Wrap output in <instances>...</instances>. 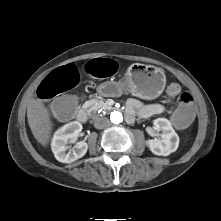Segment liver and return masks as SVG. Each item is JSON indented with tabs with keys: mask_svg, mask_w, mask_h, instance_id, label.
<instances>
[{
	"mask_svg": "<svg viewBox=\"0 0 221 221\" xmlns=\"http://www.w3.org/2000/svg\"><path fill=\"white\" fill-rule=\"evenodd\" d=\"M27 119L35 139L42 146H47L52 133V121L47 108L41 100H29L27 105Z\"/></svg>",
	"mask_w": 221,
	"mask_h": 221,
	"instance_id": "obj_1",
	"label": "liver"
}]
</instances>
